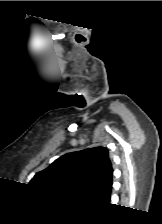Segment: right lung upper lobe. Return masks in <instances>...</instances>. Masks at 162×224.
Listing matches in <instances>:
<instances>
[{
    "label": "right lung upper lobe",
    "mask_w": 162,
    "mask_h": 224,
    "mask_svg": "<svg viewBox=\"0 0 162 224\" xmlns=\"http://www.w3.org/2000/svg\"><path fill=\"white\" fill-rule=\"evenodd\" d=\"M113 168L104 147L65 154L36 175L30 185L40 190L76 195L88 204L110 200Z\"/></svg>",
    "instance_id": "1"
}]
</instances>
